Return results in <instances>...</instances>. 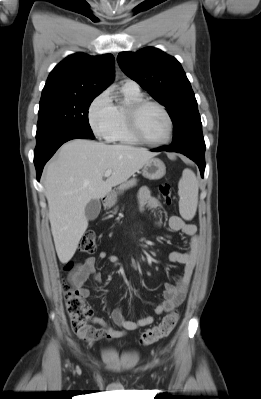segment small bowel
<instances>
[{"label": "small bowel", "instance_id": "1", "mask_svg": "<svg viewBox=\"0 0 261 399\" xmlns=\"http://www.w3.org/2000/svg\"><path fill=\"white\" fill-rule=\"evenodd\" d=\"M137 202L140 211H144L145 209L155 210L160 207V202L152 195L148 187H142L139 190ZM168 227L171 231L181 232L189 239L186 244L187 249L185 252L173 251L169 254V260L171 262L183 265V272L176 285L168 283L164 285L163 300L155 307V313L157 315L170 312L183 302L199 254V240L196 235V226L194 224L187 223L180 216L173 214L168 217ZM97 259L108 260L113 264L120 262L119 256L114 254L109 255L106 251H100L96 258L89 257L83 262L77 264L69 273V281L73 287L79 291L82 298L89 297L91 293L90 289L85 287L86 281L90 277H93L96 281H100L101 279L100 275L95 273ZM111 317L121 330L113 328L100 317H94L92 323L96 326L88 327L87 336L80 338L90 344L103 339H120L124 337L128 331L143 328L154 322L152 316H146L137 321L128 320L124 316L122 309L119 307L115 308L111 312Z\"/></svg>", "mask_w": 261, "mask_h": 399}]
</instances>
